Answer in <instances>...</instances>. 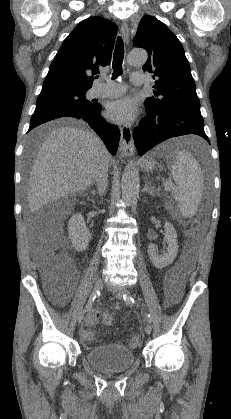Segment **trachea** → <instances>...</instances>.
Segmentation results:
<instances>
[{"mask_svg": "<svg viewBox=\"0 0 231 419\" xmlns=\"http://www.w3.org/2000/svg\"><path fill=\"white\" fill-rule=\"evenodd\" d=\"M124 58V43L119 36L116 41L114 57H113V74L112 79H115L122 74V62Z\"/></svg>", "mask_w": 231, "mask_h": 419, "instance_id": "trachea-1", "label": "trachea"}]
</instances>
